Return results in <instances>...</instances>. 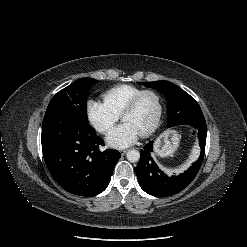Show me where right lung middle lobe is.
Instances as JSON below:
<instances>
[{"label": "right lung middle lobe", "instance_id": "obj_1", "mask_svg": "<svg viewBox=\"0 0 247 247\" xmlns=\"http://www.w3.org/2000/svg\"><path fill=\"white\" fill-rule=\"evenodd\" d=\"M97 83L92 78H81L59 91L51 99L46 113L67 112L87 118V97L90 88Z\"/></svg>", "mask_w": 247, "mask_h": 247}]
</instances>
